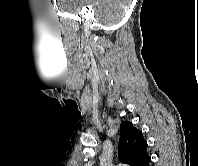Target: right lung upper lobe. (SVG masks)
Masks as SVG:
<instances>
[{"mask_svg": "<svg viewBox=\"0 0 198 166\" xmlns=\"http://www.w3.org/2000/svg\"><path fill=\"white\" fill-rule=\"evenodd\" d=\"M119 160L130 166H143L149 158L147 142L142 132L129 121H124L120 126Z\"/></svg>", "mask_w": 198, "mask_h": 166, "instance_id": "obj_1", "label": "right lung upper lobe"}]
</instances>
